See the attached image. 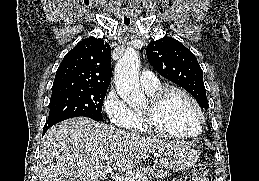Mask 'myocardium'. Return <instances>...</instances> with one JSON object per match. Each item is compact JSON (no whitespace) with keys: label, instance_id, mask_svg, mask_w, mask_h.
<instances>
[{"label":"myocardium","instance_id":"f54148a6","mask_svg":"<svg viewBox=\"0 0 259 181\" xmlns=\"http://www.w3.org/2000/svg\"><path fill=\"white\" fill-rule=\"evenodd\" d=\"M172 94H180L187 98L196 109L200 124L196 132L191 134H179L168 130L160 123V111L166 99ZM145 122L152 132L176 138V139H192L198 137L205 128V115L198 101L186 90L176 86H163L159 88L153 95L149 97L147 106L142 110Z\"/></svg>","mask_w":259,"mask_h":181}]
</instances>
